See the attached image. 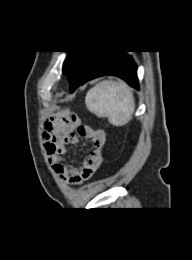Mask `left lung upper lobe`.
Instances as JSON below:
<instances>
[{"mask_svg": "<svg viewBox=\"0 0 192 260\" xmlns=\"http://www.w3.org/2000/svg\"><path fill=\"white\" fill-rule=\"evenodd\" d=\"M97 53L98 51H71L63 65V72L68 76L71 92L77 88L88 65Z\"/></svg>", "mask_w": 192, "mask_h": 260, "instance_id": "left-lung-upper-lobe-1", "label": "left lung upper lobe"}]
</instances>
